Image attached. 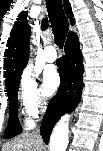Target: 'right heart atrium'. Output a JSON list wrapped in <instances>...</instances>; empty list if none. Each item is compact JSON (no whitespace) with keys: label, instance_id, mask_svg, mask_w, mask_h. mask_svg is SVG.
<instances>
[{"label":"right heart atrium","instance_id":"obj_1","mask_svg":"<svg viewBox=\"0 0 103 151\" xmlns=\"http://www.w3.org/2000/svg\"><path fill=\"white\" fill-rule=\"evenodd\" d=\"M19 96L23 112L29 119L37 117L46 107L43 91L29 72L21 78Z\"/></svg>","mask_w":103,"mask_h":151}]
</instances>
